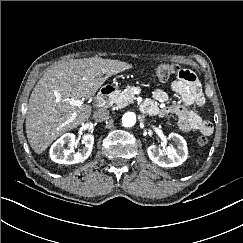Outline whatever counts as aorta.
<instances>
[{"label":"aorta","instance_id":"obj_1","mask_svg":"<svg viewBox=\"0 0 243 243\" xmlns=\"http://www.w3.org/2000/svg\"><path fill=\"white\" fill-rule=\"evenodd\" d=\"M136 114L134 112H126L122 117L124 127H132L136 124Z\"/></svg>","mask_w":243,"mask_h":243}]
</instances>
